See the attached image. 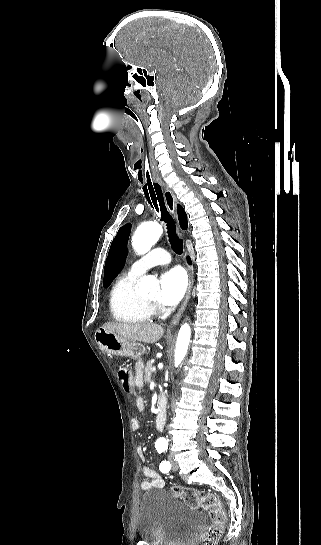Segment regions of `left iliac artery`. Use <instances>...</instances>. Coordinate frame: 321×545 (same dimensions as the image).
<instances>
[{"mask_svg":"<svg viewBox=\"0 0 321 545\" xmlns=\"http://www.w3.org/2000/svg\"><path fill=\"white\" fill-rule=\"evenodd\" d=\"M157 448V451L159 453H162V452H165L167 450V446L166 445H159L156 447ZM170 462L169 461H163L160 466H159V469L163 472V473H167L170 471Z\"/></svg>","mask_w":321,"mask_h":545,"instance_id":"obj_1","label":"left iliac artery"}]
</instances>
